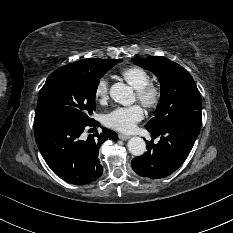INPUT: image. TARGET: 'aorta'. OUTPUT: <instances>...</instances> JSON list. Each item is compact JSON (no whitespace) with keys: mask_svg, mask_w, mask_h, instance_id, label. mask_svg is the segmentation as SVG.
<instances>
[{"mask_svg":"<svg viewBox=\"0 0 233 233\" xmlns=\"http://www.w3.org/2000/svg\"><path fill=\"white\" fill-rule=\"evenodd\" d=\"M111 98L124 106H128L134 103L135 97L131 87L124 83H115L110 88ZM128 149L134 156H141L146 151V143L141 137H132L128 141Z\"/></svg>","mask_w":233,"mask_h":233,"instance_id":"762f6f07","label":"aorta"}]
</instances>
